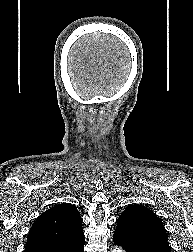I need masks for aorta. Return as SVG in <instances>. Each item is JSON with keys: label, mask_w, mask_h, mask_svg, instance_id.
Wrapping results in <instances>:
<instances>
[{"label": "aorta", "mask_w": 193, "mask_h": 252, "mask_svg": "<svg viewBox=\"0 0 193 252\" xmlns=\"http://www.w3.org/2000/svg\"><path fill=\"white\" fill-rule=\"evenodd\" d=\"M112 252H123V250L117 246L112 249Z\"/></svg>", "instance_id": "obj_1"}]
</instances>
